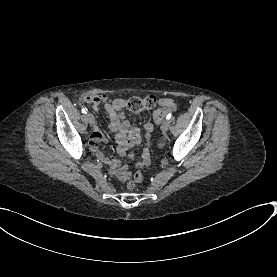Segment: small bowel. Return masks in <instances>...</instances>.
Masks as SVG:
<instances>
[{"mask_svg":"<svg viewBox=\"0 0 277 277\" xmlns=\"http://www.w3.org/2000/svg\"><path fill=\"white\" fill-rule=\"evenodd\" d=\"M91 98V102L100 101L104 102L105 110L109 117V127L116 134V141L118 144L117 153L122 156L126 150L132 149L140 143V131L136 127H131L130 123L126 120L124 113L125 101L123 99H109L104 95L92 93L90 96L84 97L86 102L88 98ZM161 110L166 112V115L172 112L175 108V104L172 99L164 98L160 100ZM93 110L98 108L96 103L91 105ZM146 131V138L148 145L144 148L142 153V160L137 164L139 167H147L150 164L149 157V143L150 135L153 131V127L150 122H147L143 126ZM105 140V136L99 130H95L89 141L91 149H95L97 142ZM96 155L101 159L104 165L113 168L115 178L122 182L129 178L130 172L127 166L121 165L118 160H113L110 157H106L100 152L96 151Z\"/></svg>","mask_w":277,"mask_h":277,"instance_id":"small-bowel-1","label":"small bowel"}]
</instances>
